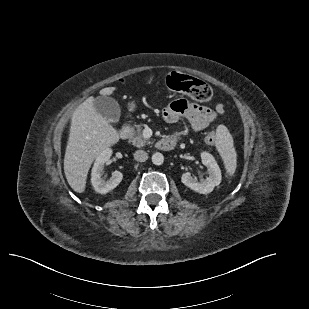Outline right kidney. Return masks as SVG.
Masks as SVG:
<instances>
[{"label": "right kidney", "mask_w": 309, "mask_h": 309, "mask_svg": "<svg viewBox=\"0 0 309 309\" xmlns=\"http://www.w3.org/2000/svg\"><path fill=\"white\" fill-rule=\"evenodd\" d=\"M112 155V150L107 148L103 150L96 158L91 173V183L94 190L100 194H106L116 188L122 181L123 174L119 171L112 172V176L108 180L101 178V173Z\"/></svg>", "instance_id": "right-kidney-1"}]
</instances>
